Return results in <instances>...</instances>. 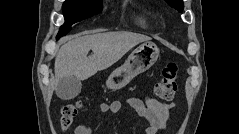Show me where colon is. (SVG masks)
Returning a JSON list of instances; mask_svg holds the SVG:
<instances>
[{"instance_id": "colon-1", "label": "colon", "mask_w": 239, "mask_h": 134, "mask_svg": "<svg viewBox=\"0 0 239 134\" xmlns=\"http://www.w3.org/2000/svg\"><path fill=\"white\" fill-rule=\"evenodd\" d=\"M178 66L169 63L164 67L161 77L155 86L156 95L164 100L173 98L177 91ZM81 108L79 100L66 104L61 110L60 122L63 129H68Z\"/></svg>"}]
</instances>
